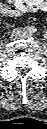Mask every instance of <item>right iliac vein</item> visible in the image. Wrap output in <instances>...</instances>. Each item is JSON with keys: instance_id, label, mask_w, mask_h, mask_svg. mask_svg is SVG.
<instances>
[{"instance_id": "right-iliac-vein-1", "label": "right iliac vein", "mask_w": 47, "mask_h": 129, "mask_svg": "<svg viewBox=\"0 0 47 129\" xmlns=\"http://www.w3.org/2000/svg\"><path fill=\"white\" fill-rule=\"evenodd\" d=\"M24 33H25V31L23 29L17 28V29L12 31V33L10 35V39L12 41L17 40L18 38L23 37Z\"/></svg>"}]
</instances>
